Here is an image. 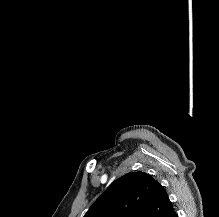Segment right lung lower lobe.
<instances>
[{
    "mask_svg": "<svg viewBox=\"0 0 219 217\" xmlns=\"http://www.w3.org/2000/svg\"><path fill=\"white\" fill-rule=\"evenodd\" d=\"M167 217H178L175 210H173Z\"/></svg>",
    "mask_w": 219,
    "mask_h": 217,
    "instance_id": "1",
    "label": "right lung lower lobe"
}]
</instances>
